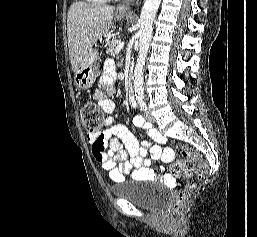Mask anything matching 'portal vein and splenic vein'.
Masks as SVG:
<instances>
[{
    "mask_svg": "<svg viewBox=\"0 0 257 237\" xmlns=\"http://www.w3.org/2000/svg\"><path fill=\"white\" fill-rule=\"evenodd\" d=\"M123 46H124V43L123 42H121V43H119L117 46H116V53H119L120 51H121V49L123 48Z\"/></svg>",
    "mask_w": 257,
    "mask_h": 237,
    "instance_id": "1",
    "label": "portal vein and splenic vein"
}]
</instances>
